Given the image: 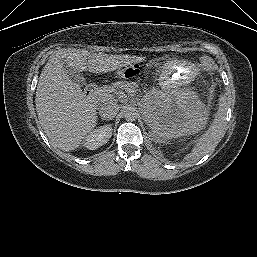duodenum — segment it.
Listing matches in <instances>:
<instances>
[{
    "mask_svg": "<svg viewBox=\"0 0 257 257\" xmlns=\"http://www.w3.org/2000/svg\"><path fill=\"white\" fill-rule=\"evenodd\" d=\"M97 87L95 85H89L85 90V96L89 103H93L96 97Z\"/></svg>",
    "mask_w": 257,
    "mask_h": 257,
    "instance_id": "duodenum-1",
    "label": "duodenum"
}]
</instances>
